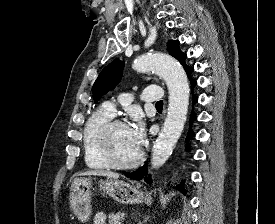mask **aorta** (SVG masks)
Wrapping results in <instances>:
<instances>
[{
    "mask_svg": "<svg viewBox=\"0 0 275 224\" xmlns=\"http://www.w3.org/2000/svg\"><path fill=\"white\" fill-rule=\"evenodd\" d=\"M133 68L155 71L165 80L169 90L167 117L152 149L151 164L158 168L167 161L183 131L189 105V83L183 67L167 55H142L134 61Z\"/></svg>",
    "mask_w": 275,
    "mask_h": 224,
    "instance_id": "762f6f07",
    "label": "aorta"
}]
</instances>
